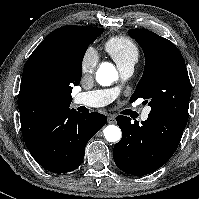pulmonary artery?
<instances>
[{
  "label": "pulmonary artery",
  "instance_id": "pulmonary-artery-1",
  "mask_svg": "<svg viewBox=\"0 0 199 199\" xmlns=\"http://www.w3.org/2000/svg\"><path fill=\"white\" fill-rule=\"evenodd\" d=\"M120 69L123 78H128L134 71V65H127ZM119 94L118 88L95 90L82 92L74 97L73 103L75 105H83L86 107H100L111 103ZM150 108H145L141 114V120L145 121L148 118Z\"/></svg>",
  "mask_w": 199,
  "mask_h": 199
}]
</instances>
